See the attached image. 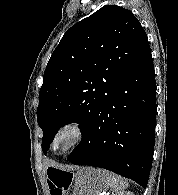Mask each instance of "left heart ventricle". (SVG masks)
<instances>
[{
  "mask_svg": "<svg viewBox=\"0 0 178 195\" xmlns=\"http://www.w3.org/2000/svg\"><path fill=\"white\" fill-rule=\"evenodd\" d=\"M71 140L72 136L70 134H62L56 142V150L62 151L66 149L69 146Z\"/></svg>",
  "mask_w": 178,
  "mask_h": 195,
  "instance_id": "b2bd125f",
  "label": "left heart ventricle"
}]
</instances>
